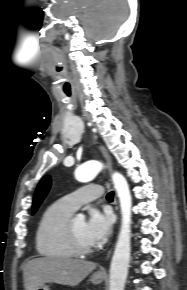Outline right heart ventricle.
<instances>
[{
  "mask_svg": "<svg viewBox=\"0 0 187 290\" xmlns=\"http://www.w3.org/2000/svg\"><path fill=\"white\" fill-rule=\"evenodd\" d=\"M73 212L62 200L45 209L35 234L36 249L41 256L49 259H68L75 256L64 231L66 221Z\"/></svg>",
  "mask_w": 187,
  "mask_h": 290,
  "instance_id": "right-heart-ventricle-1",
  "label": "right heart ventricle"
}]
</instances>
